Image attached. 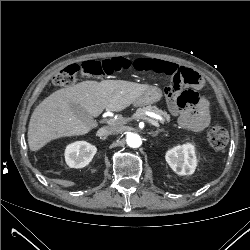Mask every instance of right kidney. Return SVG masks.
<instances>
[{"instance_id": "obj_1", "label": "right kidney", "mask_w": 250, "mask_h": 250, "mask_svg": "<svg viewBox=\"0 0 250 250\" xmlns=\"http://www.w3.org/2000/svg\"><path fill=\"white\" fill-rule=\"evenodd\" d=\"M97 148L86 141H77L69 144L65 150V161L71 168H83L87 166L94 155Z\"/></svg>"}]
</instances>
